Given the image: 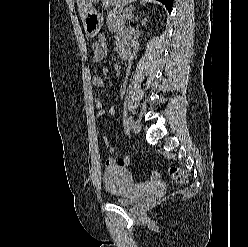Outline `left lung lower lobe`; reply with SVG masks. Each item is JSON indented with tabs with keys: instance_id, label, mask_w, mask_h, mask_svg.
<instances>
[{
	"instance_id": "0a47b994",
	"label": "left lung lower lobe",
	"mask_w": 248,
	"mask_h": 247,
	"mask_svg": "<svg viewBox=\"0 0 248 247\" xmlns=\"http://www.w3.org/2000/svg\"><path fill=\"white\" fill-rule=\"evenodd\" d=\"M158 1H161L165 5V7L167 8V10L169 12H171L173 0H158Z\"/></svg>"
}]
</instances>
